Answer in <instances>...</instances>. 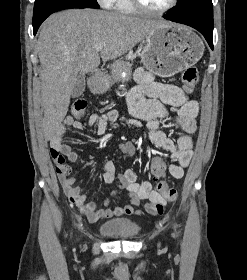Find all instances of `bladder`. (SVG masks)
I'll return each instance as SVG.
<instances>
[{
	"instance_id": "obj_1",
	"label": "bladder",
	"mask_w": 247,
	"mask_h": 280,
	"mask_svg": "<svg viewBox=\"0 0 247 280\" xmlns=\"http://www.w3.org/2000/svg\"><path fill=\"white\" fill-rule=\"evenodd\" d=\"M99 231L109 238L131 239L138 235L140 226L128 219H112L102 223Z\"/></svg>"
}]
</instances>
